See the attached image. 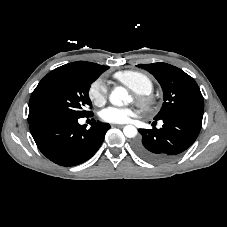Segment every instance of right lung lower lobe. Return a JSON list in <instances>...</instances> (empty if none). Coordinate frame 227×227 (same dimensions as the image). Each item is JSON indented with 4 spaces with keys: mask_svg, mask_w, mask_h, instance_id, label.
Instances as JSON below:
<instances>
[{
    "mask_svg": "<svg viewBox=\"0 0 227 227\" xmlns=\"http://www.w3.org/2000/svg\"><path fill=\"white\" fill-rule=\"evenodd\" d=\"M78 119L47 117L30 123L37 147L52 162L61 166L78 165L90 159L101 146L110 125L94 121L86 129Z\"/></svg>",
    "mask_w": 227,
    "mask_h": 227,
    "instance_id": "right-lung-lower-lobe-1",
    "label": "right lung lower lobe"
}]
</instances>
